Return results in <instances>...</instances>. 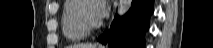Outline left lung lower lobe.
<instances>
[{"label":"left lung lower lobe","mask_w":213,"mask_h":48,"mask_svg":"<svg viewBox=\"0 0 213 48\" xmlns=\"http://www.w3.org/2000/svg\"><path fill=\"white\" fill-rule=\"evenodd\" d=\"M152 13L153 0H133L130 10L122 17L117 16L98 41L109 48H144V33Z\"/></svg>","instance_id":"0a47b994"}]
</instances>
